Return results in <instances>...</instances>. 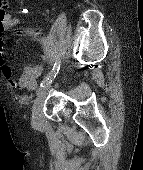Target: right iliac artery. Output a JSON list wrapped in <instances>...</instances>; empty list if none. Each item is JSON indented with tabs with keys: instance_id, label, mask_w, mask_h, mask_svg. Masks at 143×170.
Here are the masks:
<instances>
[{
	"instance_id": "right-iliac-artery-1",
	"label": "right iliac artery",
	"mask_w": 143,
	"mask_h": 170,
	"mask_svg": "<svg viewBox=\"0 0 143 170\" xmlns=\"http://www.w3.org/2000/svg\"><path fill=\"white\" fill-rule=\"evenodd\" d=\"M60 69V62H57L54 64L52 70L50 73L44 78V80L40 83V87H43L47 83L52 82V80L56 77L57 73L59 72Z\"/></svg>"
}]
</instances>
